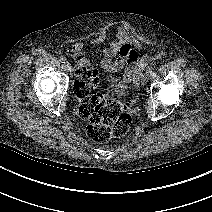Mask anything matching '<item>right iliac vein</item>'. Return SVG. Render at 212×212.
I'll return each mask as SVG.
<instances>
[{
	"label": "right iliac vein",
	"mask_w": 212,
	"mask_h": 212,
	"mask_svg": "<svg viewBox=\"0 0 212 212\" xmlns=\"http://www.w3.org/2000/svg\"><path fill=\"white\" fill-rule=\"evenodd\" d=\"M64 67L67 71H71V65L68 62L64 64Z\"/></svg>",
	"instance_id": "63e3f726"
}]
</instances>
